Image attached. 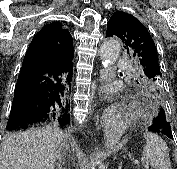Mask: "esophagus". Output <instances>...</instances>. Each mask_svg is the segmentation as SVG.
<instances>
[{
  "label": "esophagus",
  "instance_id": "34e87169",
  "mask_svg": "<svg viewBox=\"0 0 177 169\" xmlns=\"http://www.w3.org/2000/svg\"><path fill=\"white\" fill-rule=\"evenodd\" d=\"M107 82H108L107 77L101 76L100 84L98 86V92H101V95H103L102 100H104L103 107H102L103 114L101 116L100 123L105 128L106 131L110 129L112 125L111 111L109 110L112 97H108L107 92H105L107 91V86H106Z\"/></svg>",
  "mask_w": 177,
  "mask_h": 169
}]
</instances>
